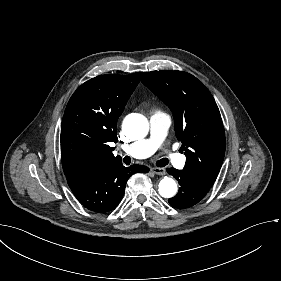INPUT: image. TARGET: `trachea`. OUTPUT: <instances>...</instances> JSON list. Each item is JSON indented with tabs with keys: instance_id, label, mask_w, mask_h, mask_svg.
I'll list each match as a JSON object with an SVG mask.
<instances>
[{
	"instance_id": "trachea-1",
	"label": "trachea",
	"mask_w": 281,
	"mask_h": 281,
	"mask_svg": "<svg viewBox=\"0 0 281 281\" xmlns=\"http://www.w3.org/2000/svg\"><path fill=\"white\" fill-rule=\"evenodd\" d=\"M130 160H131V159H130L129 156H126V157L124 158V162H125V163L129 162ZM169 161H170V160H169L168 158H162L161 160L157 161L156 165H157L158 167H164V166L168 165Z\"/></svg>"
}]
</instances>
